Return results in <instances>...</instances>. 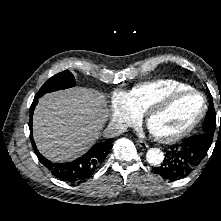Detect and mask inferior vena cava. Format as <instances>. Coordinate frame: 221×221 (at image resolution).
I'll return each instance as SVG.
<instances>
[{
    "label": "inferior vena cava",
    "mask_w": 221,
    "mask_h": 221,
    "mask_svg": "<svg viewBox=\"0 0 221 221\" xmlns=\"http://www.w3.org/2000/svg\"><path fill=\"white\" fill-rule=\"evenodd\" d=\"M124 132V129L118 125H108L104 130L103 135L106 138H113L121 135Z\"/></svg>",
    "instance_id": "obj_1"
}]
</instances>
